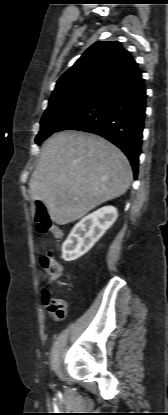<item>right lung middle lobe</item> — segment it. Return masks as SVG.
<instances>
[{"mask_svg": "<svg viewBox=\"0 0 168 415\" xmlns=\"http://www.w3.org/2000/svg\"><path fill=\"white\" fill-rule=\"evenodd\" d=\"M102 91L80 90L63 94L49 100V105L40 121V131L35 139L39 145L48 138L83 107L96 99Z\"/></svg>", "mask_w": 168, "mask_h": 415, "instance_id": "obj_1", "label": "right lung middle lobe"}]
</instances>
